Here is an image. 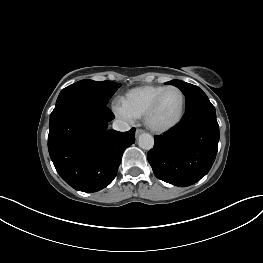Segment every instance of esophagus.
<instances>
[{"label": "esophagus", "mask_w": 263, "mask_h": 263, "mask_svg": "<svg viewBox=\"0 0 263 263\" xmlns=\"http://www.w3.org/2000/svg\"><path fill=\"white\" fill-rule=\"evenodd\" d=\"M144 132V130L143 129H137L136 130V137H138L140 134H142Z\"/></svg>", "instance_id": "esophagus-1"}]
</instances>
